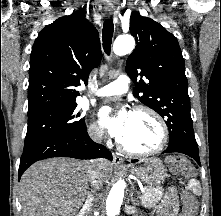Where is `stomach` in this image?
<instances>
[{
    "label": "stomach",
    "instance_id": "obj_1",
    "mask_svg": "<svg viewBox=\"0 0 221 216\" xmlns=\"http://www.w3.org/2000/svg\"><path fill=\"white\" fill-rule=\"evenodd\" d=\"M166 171L162 161L156 158L148 159L138 167L131 168V173L138 177L147 187L161 185L167 176Z\"/></svg>",
    "mask_w": 221,
    "mask_h": 216
}]
</instances>
